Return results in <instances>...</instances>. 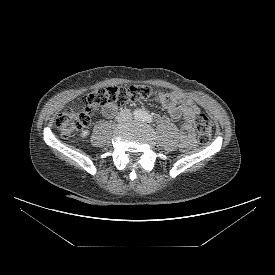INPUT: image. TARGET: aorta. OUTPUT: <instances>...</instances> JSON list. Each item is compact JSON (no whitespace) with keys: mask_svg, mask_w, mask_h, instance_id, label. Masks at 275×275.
<instances>
[{"mask_svg":"<svg viewBox=\"0 0 275 275\" xmlns=\"http://www.w3.org/2000/svg\"><path fill=\"white\" fill-rule=\"evenodd\" d=\"M140 113H141V111H139V110L135 111L136 116L139 115Z\"/></svg>","mask_w":275,"mask_h":275,"instance_id":"aorta-1","label":"aorta"}]
</instances>
